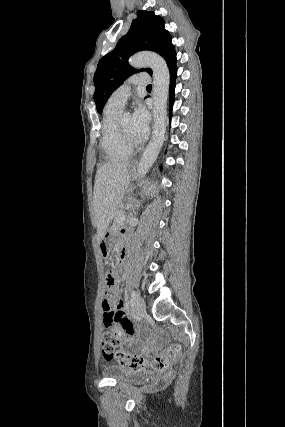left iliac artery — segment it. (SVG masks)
<instances>
[{
  "mask_svg": "<svg viewBox=\"0 0 285 427\" xmlns=\"http://www.w3.org/2000/svg\"><path fill=\"white\" fill-rule=\"evenodd\" d=\"M137 294L134 290L131 291L130 307H133L135 304Z\"/></svg>",
  "mask_w": 285,
  "mask_h": 427,
  "instance_id": "44dca946",
  "label": "left iliac artery"
}]
</instances>
